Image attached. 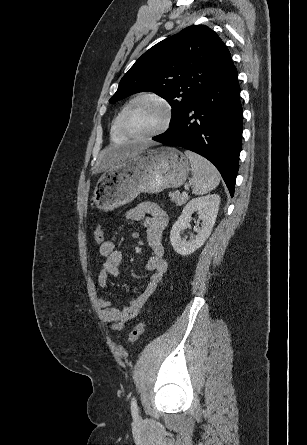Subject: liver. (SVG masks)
<instances>
[{"instance_id": "1", "label": "liver", "mask_w": 307, "mask_h": 445, "mask_svg": "<svg viewBox=\"0 0 307 445\" xmlns=\"http://www.w3.org/2000/svg\"><path fill=\"white\" fill-rule=\"evenodd\" d=\"M128 152V148H121V150H115V148H104V150H101V154H99L96 164V166H100V168H95V172H102V170H105V168H110V166H113V164H117V162L125 160L126 156H128Z\"/></svg>"}]
</instances>
